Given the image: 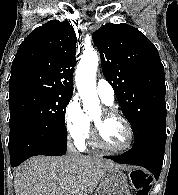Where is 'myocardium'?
I'll return each mask as SVG.
<instances>
[{
  "label": "myocardium",
  "instance_id": "myocardium-1",
  "mask_svg": "<svg viewBox=\"0 0 178 195\" xmlns=\"http://www.w3.org/2000/svg\"><path fill=\"white\" fill-rule=\"evenodd\" d=\"M102 115L104 119H110V118H115L120 120L121 122H123V124L125 125L128 134H129V140L127 142V144L123 147H111L109 145H107L101 136V122L100 121H95L94 119H92V138L94 143L102 148L105 149L107 151L110 152H124L129 150L133 143H134V139H135V134H134V130L130 124V122L120 113H118L117 111L111 109V108H103L102 109Z\"/></svg>",
  "mask_w": 178,
  "mask_h": 195
}]
</instances>
